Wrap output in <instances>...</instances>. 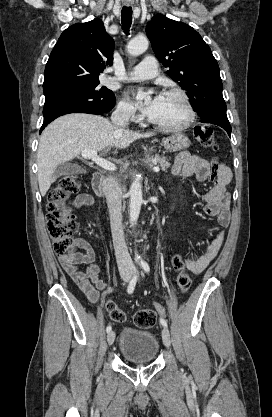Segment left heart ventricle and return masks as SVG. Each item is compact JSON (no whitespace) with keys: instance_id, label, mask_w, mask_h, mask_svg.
Returning <instances> with one entry per match:
<instances>
[{"instance_id":"1","label":"left heart ventricle","mask_w":272,"mask_h":417,"mask_svg":"<svg viewBox=\"0 0 272 417\" xmlns=\"http://www.w3.org/2000/svg\"><path fill=\"white\" fill-rule=\"evenodd\" d=\"M186 116V108L180 98L164 95L159 111L151 119L159 124L175 125L184 121Z\"/></svg>"}]
</instances>
